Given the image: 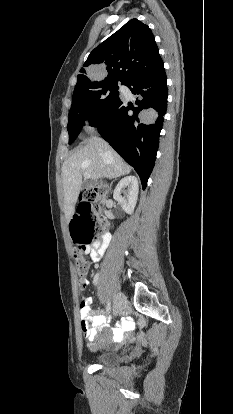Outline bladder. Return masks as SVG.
<instances>
[{"instance_id":"31cf9c89","label":"bladder","mask_w":233,"mask_h":414,"mask_svg":"<svg viewBox=\"0 0 233 414\" xmlns=\"http://www.w3.org/2000/svg\"><path fill=\"white\" fill-rule=\"evenodd\" d=\"M118 354L114 352H105L96 358V362L100 365H113L118 361Z\"/></svg>"}]
</instances>
